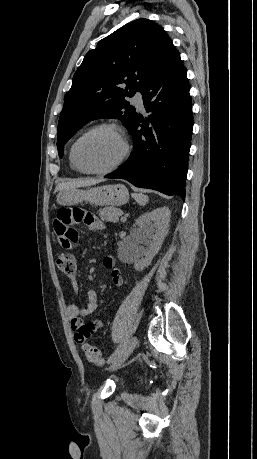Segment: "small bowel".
Wrapping results in <instances>:
<instances>
[{
  "label": "small bowel",
  "mask_w": 257,
  "mask_h": 459,
  "mask_svg": "<svg viewBox=\"0 0 257 459\" xmlns=\"http://www.w3.org/2000/svg\"><path fill=\"white\" fill-rule=\"evenodd\" d=\"M53 224L55 235L59 236L63 251H76L80 240L76 226H85L86 229H101L104 226L99 219L94 217L90 205H60V211H56ZM103 264L111 270L114 285L121 289L123 276L116 267V259L113 256H106ZM70 284L73 291L77 293L79 289L77 278L71 277ZM97 307L98 294L95 290L87 291L84 305L71 304L68 306L67 314L70 319V327L77 343H84L95 331L102 328L103 322L101 320H95L91 323L84 322V318L92 315Z\"/></svg>",
  "instance_id": "obj_1"
}]
</instances>
